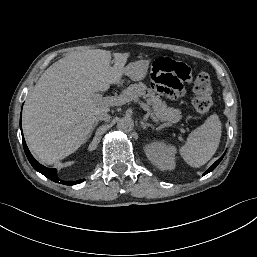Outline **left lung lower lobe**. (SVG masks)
I'll return each instance as SVG.
<instances>
[{"instance_id": "left-lung-lower-lobe-1", "label": "left lung lower lobe", "mask_w": 257, "mask_h": 257, "mask_svg": "<svg viewBox=\"0 0 257 257\" xmlns=\"http://www.w3.org/2000/svg\"><path fill=\"white\" fill-rule=\"evenodd\" d=\"M224 155H225V154H224ZM224 155H223L220 159H218L203 175H205V174L211 172V171L220 163V161L222 160V158L224 157Z\"/></svg>"}]
</instances>
